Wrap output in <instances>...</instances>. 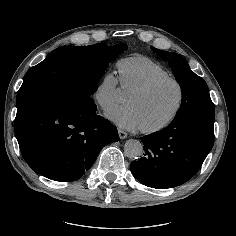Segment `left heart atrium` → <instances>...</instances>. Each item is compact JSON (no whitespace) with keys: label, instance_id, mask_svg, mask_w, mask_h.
Masks as SVG:
<instances>
[{"label":"left heart atrium","instance_id":"39dd6f15","mask_svg":"<svg viewBox=\"0 0 236 236\" xmlns=\"http://www.w3.org/2000/svg\"><path fill=\"white\" fill-rule=\"evenodd\" d=\"M107 117L121 128L136 129L140 127L137 111L129 105L108 112Z\"/></svg>","mask_w":236,"mask_h":236}]
</instances>
